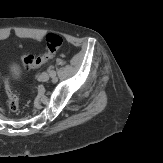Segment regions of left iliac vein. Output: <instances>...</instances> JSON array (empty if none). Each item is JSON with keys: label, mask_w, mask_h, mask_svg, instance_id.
<instances>
[{"label": "left iliac vein", "mask_w": 163, "mask_h": 163, "mask_svg": "<svg viewBox=\"0 0 163 163\" xmlns=\"http://www.w3.org/2000/svg\"><path fill=\"white\" fill-rule=\"evenodd\" d=\"M50 76L47 72H42L40 75V80L43 82H47L49 80Z\"/></svg>", "instance_id": "obj_1"}]
</instances>
